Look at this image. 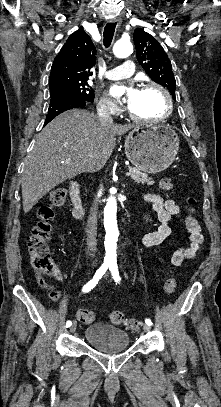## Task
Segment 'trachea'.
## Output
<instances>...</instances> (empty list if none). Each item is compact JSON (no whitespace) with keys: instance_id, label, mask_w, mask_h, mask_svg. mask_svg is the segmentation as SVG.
<instances>
[{"instance_id":"obj_1","label":"trachea","mask_w":221,"mask_h":407,"mask_svg":"<svg viewBox=\"0 0 221 407\" xmlns=\"http://www.w3.org/2000/svg\"><path fill=\"white\" fill-rule=\"evenodd\" d=\"M115 28H116V22L115 23H107L105 28H104V33H103V42H104V46L105 47H109L112 39H113V35L115 32Z\"/></svg>"}]
</instances>
